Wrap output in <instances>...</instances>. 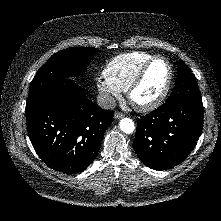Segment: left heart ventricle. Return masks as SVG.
<instances>
[{"mask_svg": "<svg viewBox=\"0 0 221 221\" xmlns=\"http://www.w3.org/2000/svg\"><path fill=\"white\" fill-rule=\"evenodd\" d=\"M168 77V67L163 60L154 61L134 93V99L139 103L154 100L163 90Z\"/></svg>", "mask_w": 221, "mask_h": 221, "instance_id": "obj_1", "label": "left heart ventricle"}]
</instances>
